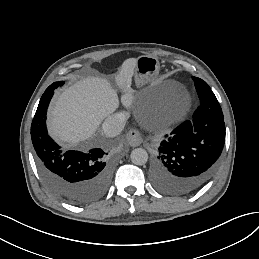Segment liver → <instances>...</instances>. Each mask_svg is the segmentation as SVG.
<instances>
[{
	"instance_id": "6515ba94",
	"label": "liver",
	"mask_w": 259,
	"mask_h": 259,
	"mask_svg": "<svg viewBox=\"0 0 259 259\" xmlns=\"http://www.w3.org/2000/svg\"><path fill=\"white\" fill-rule=\"evenodd\" d=\"M137 59H130L116 76L117 84L130 91ZM119 105L116 91L104 78H86L65 89L48 109L49 134L60 143L76 146L92 137L101 122Z\"/></svg>"
}]
</instances>
